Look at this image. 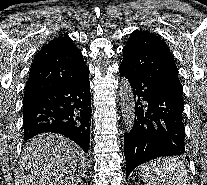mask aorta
I'll return each instance as SVG.
<instances>
[{
  "label": "aorta",
  "instance_id": "aorta-1",
  "mask_svg": "<svg viewBox=\"0 0 207 185\" xmlns=\"http://www.w3.org/2000/svg\"><path fill=\"white\" fill-rule=\"evenodd\" d=\"M119 96L124 125L130 131L134 126L135 120V100L132 87L127 78L120 80Z\"/></svg>",
  "mask_w": 207,
  "mask_h": 185
}]
</instances>
